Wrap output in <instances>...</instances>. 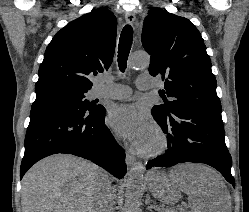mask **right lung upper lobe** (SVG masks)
<instances>
[{
    "label": "right lung upper lobe",
    "instance_id": "obj_1",
    "mask_svg": "<svg viewBox=\"0 0 249 212\" xmlns=\"http://www.w3.org/2000/svg\"><path fill=\"white\" fill-rule=\"evenodd\" d=\"M116 27V17L103 7L62 28L45 51L35 85L36 95L90 90L93 84L88 75L106 71L112 63Z\"/></svg>",
    "mask_w": 249,
    "mask_h": 212
}]
</instances>
